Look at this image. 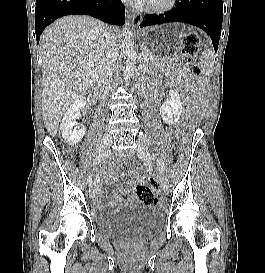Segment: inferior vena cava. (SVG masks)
Instances as JSON below:
<instances>
[{"instance_id":"obj_1","label":"inferior vena cava","mask_w":265,"mask_h":273,"mask_svg":"<svg viewBox=\"0 0 265 273\" xmlns=\"http://www.w3.org/2000/svg\"><path fill=\"white\" fill-rule=\"evenodd\" d=\"M117 40L115 35L108 28L102 35L101 41V62L98 79L101 80L102 85L100 89L101 106L104 107L111 91V78L113 73L117 70L118 59Z\"/></svg>"}]
</instances>
